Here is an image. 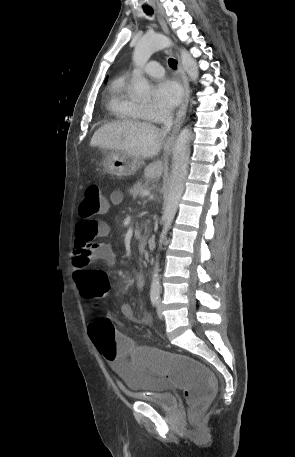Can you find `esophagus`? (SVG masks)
Masks as SVG:
<instances>
[{
	"label": "esophagus",
	"mask_w": 295,
	"mask_h": 457,
	"mask_svg": "<svg viewBox=\"0 0 295 457\" xmlns=\"http://www.w3.org/2000/svg\"><path fill=\"white\" fill-rule=\"evenodd\" d=\"M157 14H158L159 22H160L161 26L163 27L165 33L169 34L168 27H167V25L165 23V20H164V18H163L162 14L160 13L159 10H157ZM176 55H177V58H178V73H179V75H180V77L182 79L184 95H183L182 105H181L180 109L178 110V112L176 114L173 130H172L171 134L169 135V137L167 138V140L165 142V145H164V148H165L166 151H169L172 148L173 143H174V139H175V135L178 132V130L180 129L182 121L185 118L186 109H187L188 102H189V94H190L189 82H188L187 76H186V74L184 72V69H183V67L181 65L179 55L178 54H176Z\"/></svg>",
	"instance_id": "obj_1"
}]
</instances>
